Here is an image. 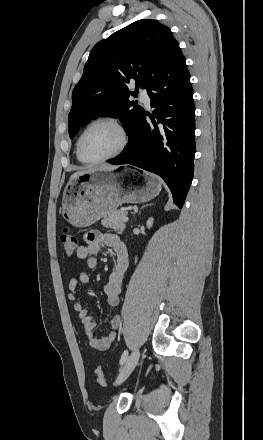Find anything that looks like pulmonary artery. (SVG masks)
<instances>
[{"instance_id":"obj_1","label":"pulmonary artery","mask_w":263,"mask_h":440,"mask_svg":"<svg viewBox=\"0 0 263 440\" xmlns=\"http://www.w3.org/2000/svg\"><path fill=\"white\" fill-rule=\"evenodd\" d=\"M140 100L145 104V106L150 107V97L146 90L141 91Z\"/></svg>"}]
</instances>
